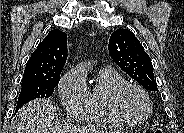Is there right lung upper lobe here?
<instances>
[{
  "mask_svg": "<svg viewBox=\"0 0 184 133\" xmlns=\"http://www.w3.org/2000/svg\"><path fill=\"white\" fill-rule=\"evenodd\" d=\"M66 59V33L51 30L28 60L22 81L49 80L60 76Z\"/></svg>",
  "mask_w": 184,
  "mask_h": 133,
  "instance_id": "cb5924a9",
  "label": "right lung upper lobe"
}]
</instances>
